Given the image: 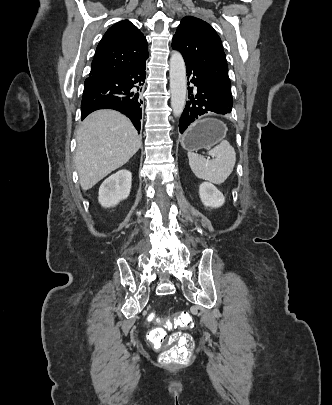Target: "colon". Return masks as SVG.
<instances>
[{
    "label": "colon",
    "instance_id": "obj_1",
    "mask_svg": "<svg viewBox=\"0 0 332 405\" xmlns=\"http://www.w3.org/2000/svg\"><path fill=\"white\" fill-rule=\"evenodd\" d=\"M151 320L153 321L154 319L152 318ZM172 321L182 328H191L193 326L192 316L185 311L175 313ZM171 324L169 319H162L160 321L162 328L158 327L152 330L149 334V339L156 345L164 343L167 337L166 331L163 328H169ZM170 340L174 345L162 354L163 362H185L192 357L194 341L189 334L175 332L171 335Z\"/></svg>",
    "mask_w": 332,
    "mask_h": 405
}]
</instances>
